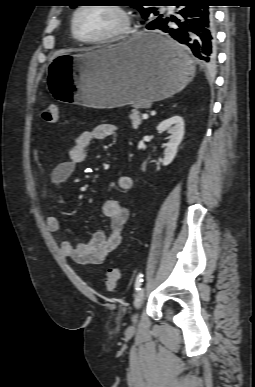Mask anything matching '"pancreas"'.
Masks as SVG:
<instances>
[{"mask_svg": "<svg viewBox=\"0 0 255 387\" xmlns=\"http://www.w3.org/2000/svg\"><path fill=\"white\" fill-rule=\"evenodd\" d=\"M130 119H131L132 127L134 129H137L139 127V125H141V123H142V120H141L140 115H139V111L137 109L132 110V113L130 115Z\"/></svg>", "mask_w": 255, "mask_h": 387, "instance_id": "cf45deb5", "label": "pancreas"}]
</instances>
